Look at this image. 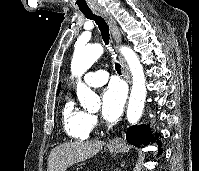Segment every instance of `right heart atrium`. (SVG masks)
I'll list each match as a JSON object with an SVG mask.
<instances>
[{"label": "right heart atrium", "mask_w": 199, "mask_h": 171, "mask_svg": "<svg viewBox=\"0 0 199 171\" xmlns=\"http://www.w3.org/2000/svg\"><path fill=\"white\" fill-rule=\"evenodd\" d=\"M97 117L95 115H90V124L92 127L96 126L97 125Z\"/></svg>", "instance_id": "1"}]
</instances>
